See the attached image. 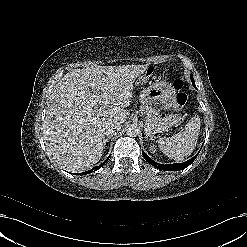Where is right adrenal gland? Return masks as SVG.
<instances>
[{"label": "right adrenal gland", "instance_id": "1", "mask_svg": "<svg viewBox=\"0 0 247 247\" xmlns=\"http://www.w3.org/2000/svg\"><path fill=\"white\" fill-rule=\"evenodd\" d=\"M112 136H108L105 140H104V146L106 145V143L108 142L109 139H111Z\"/></svg>", "mask_w": 247, "mask_h": 247}]
</instances>
